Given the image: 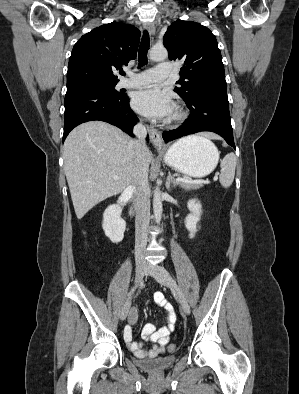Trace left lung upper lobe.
Here are the masks:
<instances>
[{
	"label": "left lung upper lobe",
	"instance_id": "left-lung-upper-lobe-1",
	"mask_svg": "<svg viewBox=\"0 0 299 394\" xmlns=\"http://www.w3.org/2000/svg\"><path fill=\"white\" fill-rule=\"evenodd\" d=\"M163 40L169 59L184 62L174 91L185 102L202 88L226 87L221 52L207 27L178 19L168 27Z\"/></svg>",
	"mask_w": 299,
	"mask_h": 394
}]
</instances>
